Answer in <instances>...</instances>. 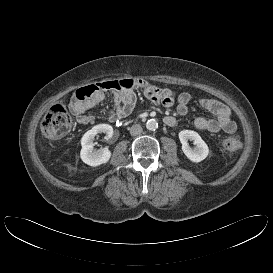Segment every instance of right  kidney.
I'll use <instances>...</instances> for the list:
<instances>
[{
    "mask_svg": "<svg viewBox=\"0 0 273 273\" xmlns=\"http://www.w3.org/2000/svg\"><path fill=\"white\" fill-rule=\"evenodd\" d=\"M98 133H105L106 139H110L113 136V128L109 124H99L83 135L80 157L84 163L92 167L107 163L111 157V152L107 147L100 150L94 149L93 141Z\"/></svg>",
    "mask_w": 273,
    "mask_h": 273,
    "instance_id": "right-kidney-1",
    "label": "right kidney"
}]
</instances>
